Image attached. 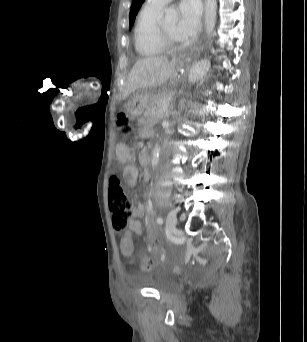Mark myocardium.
I'll return each mask as SVG.
<instances>
[{
    "instance_id": "1",
    "label": "myocardium",
    "mask_w": 307,
    "mask_h": 342,
    "mask_svg": "<svg viewBox=\"0 0 307 342\" xmlns=\"http://www.w3.org/2000/svg\"><path fill=\"white\" fill-rule=\"evenodd\" d=\"M154 40H155L157 47L164 54L174 55V54H177L179 50L181 49V48L180 49L171 48L167 44L163 36L162 22L159 19L156 20L155 26H154Z\"/></svg>"
}]
</instances>
